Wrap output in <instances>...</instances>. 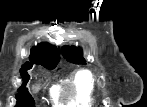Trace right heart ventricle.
Wrapping results in <instances>:
<instances>
[{
  "mask_svg": "<svg viewBox=\"0 0 147 107\" xmlns=\"http://www.w3.org/2000/svg\"><path fill=\"white\" fill-rule=\"evenodd\" d=\"M53 93L56 100L64 96L70 106L90 107L96 101L95 78L89 70H79L65 87L57 86Z\"/></svg>",
  "mask_w": 147,
  "mask_h": 107,
  "instance_id": "1",
  "label": "right heart ventricle"
}]
</instances>
